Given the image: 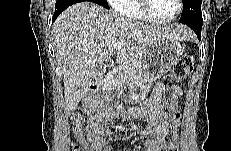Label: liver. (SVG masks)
<instances>
[{"label":"liver","mask_w":231,"mask_h":151,"mask_svg":"<svg viewBox=\"0 0 231 151\" xmlns=\"http://www.w3.org/2000/svg\"><path fill=\"white\" fill-rule=\"evenodd\" d=\"M52 35L63 73L65 110L70 115L95 78L98 64L114 55L117 63L142 58L153 46L165 40H188L193 32L183 25H147L84 1L60 14ZM116 43H122V48L114 49Z\"/></svg>","instance_id":"obj_1"}]
</instances>
